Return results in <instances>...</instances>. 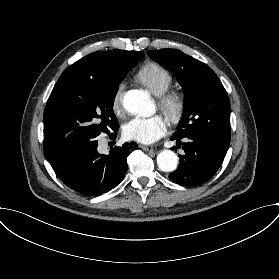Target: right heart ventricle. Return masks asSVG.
<instances>
[{"instance_id": "1", "label": "right heart ventricle", "mask_w": 279, "mask_h": 279, "mask_svg": "<svg viewBox=\"0 0 279 279\" xmlns=\"http://www.w3.org/2000/svg\"><path fill=\"white\" fill-rule=\"evenodd\" d=\"M137 78L156 95L165 93L173 83L171 72L154 61L144 63L137 71Z\"/></svg>"}]
</instances>
